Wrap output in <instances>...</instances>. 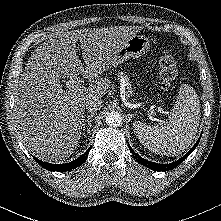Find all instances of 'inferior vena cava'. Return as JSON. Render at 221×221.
I'll use <instances>...</instances> for the list:
<instances>
[{
	"mask_svg": "<svg viewBox=\"0 0 221 221\" xmlns=\"http://www.w3.org/2000/svg\"><path fill=\"white\" fill-rule=\"evenodd\" d=\"M87 111H97L103 107V101L101 99H91L85 103Z\"/></svg>",
	"mask_w": 221,
	"mask_h": 221,
	"instance_id": "1",
	"label": "inferior vena cava"
}]
</instances>
